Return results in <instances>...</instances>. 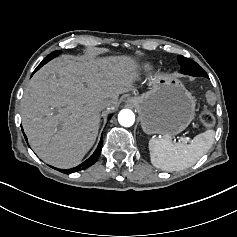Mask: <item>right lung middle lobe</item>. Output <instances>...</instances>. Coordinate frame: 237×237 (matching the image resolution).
<instances>
[{"mask_svg": "<svg viewBox=\"0 0 237 237\" xmlns=\"http://www.w3.org/2000/svg\"><path fill=\"white\" fill-rule=\"evenodd\" d=\"M60 52L58 51H54L52 53H50L49 55H47V57L38 65V67L35 69L34 72H36L37 70H39L44 64H46L47 62H49L51 59H53L54 57H56Z\"/></svg>", "mask_w": 237, "mask_h": 237, "instance_id": "dd1d6c3e", "label": "right lung middle lobe"}]
</instances>
